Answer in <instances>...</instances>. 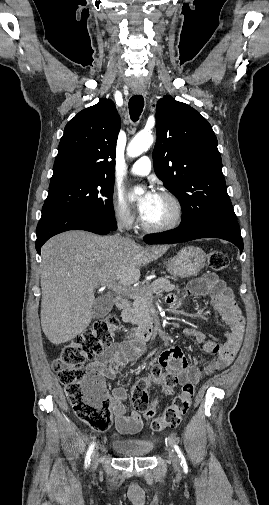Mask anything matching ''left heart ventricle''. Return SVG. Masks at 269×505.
<instances>
[{
  "label": "left heart ventricle",
  "mask_w": 269,
  "mask_h": 505,
  "mask_svg": "<svg viewBox=\"0 0 269 505\" xmlns=\"http://www.w3.org/2000/svg\"><path fill=\"white\" fill-rule=\"evenodd\" d=\"M175 216V208L170 200L158 195L148 214L143 218L150 225H162L170 222Z\"/></svg>",
  "instance_id": "1"
}]
</instances>
